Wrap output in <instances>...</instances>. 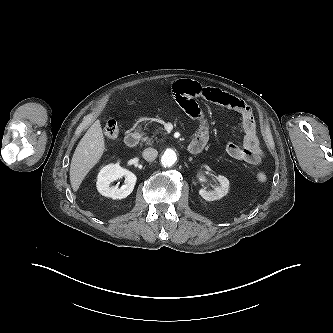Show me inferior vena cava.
<instances>
[{
  "mask_svg": "<svg viewBox=\"0 0 333 333\" xmlns=\"http://www.w3.org/2000/svg\"><path fill=\"white\" fill-rule=\"evenodd\" d=\"M158 155V151L154 148H146L144 151H143V158L146 160V161H154L156 159Z\"/></svg>",
  "mask_w": 333,
  "mask_h": 333,
  "instance_id": "1",
  "label": "inferior vena cava"
}]
</instances>
